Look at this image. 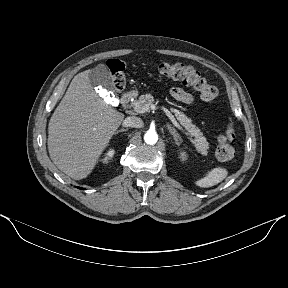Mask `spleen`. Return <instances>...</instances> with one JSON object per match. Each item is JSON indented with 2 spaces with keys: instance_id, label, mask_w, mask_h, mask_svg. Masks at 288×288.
I'll return each mask as SVG.
<instances>
[{
  "instance_id": "3e777b00",
  "label": "spleen",
  "mask_w": 288,
  "mask_h": 288,
  "mask_svg": "<svg viewBox=\"0 0 288 288\" xmlns=\"http://www.w3.org/2000/svg\"><path fill=\"white\" fill-rule=\"evenodd\" d=\"M186 157H187L186 152L182 151L180 153V158L184 161ZM227 175L228 172L226 169L220 167L214 168L209 172V174L206 177L198 180L196 184L200 187L208 188L223 181L227 177Z\"/></svg>"
}]
</instances>
